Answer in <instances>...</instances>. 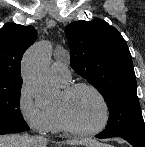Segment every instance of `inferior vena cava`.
I'll return each mask as SVG.
<instances>
[{
    "instance_id": "602c4592",
    "label": "inferior vena cava",
    "mask_w": 145,
    "mask_h": 147,
    "mask_svg": "<svg viewBox=\"0 0 145 147\" xmlns=\"http://www.w3.org/2000/svg\"><path fill=\"white\" fill-rule=\"evenodd\" d=\"M33 139L40 145L47 144V139L43 136H34Z\"/></svg>"
}]
</instances>
